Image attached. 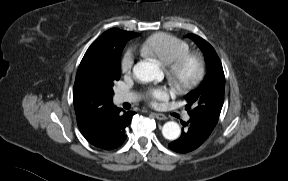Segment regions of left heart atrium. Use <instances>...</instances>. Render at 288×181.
<instances>
[{"label": "left heart atrium", "instance_id": "left-heart-atrium-1", "mask_svg": "<svg viewBox=\"0 0 288 181\" xmlns=\"http://www.w3.org/2000/svg\"><path fill=\"white\" fill-rule=\"evenodd\" d=\"M144 96L152 105H157L158 102L167 100L171 91L166 86H150L145 89Z\"/></svg>", "mask_w": 288, "mask_h": 181}]
</instances>
